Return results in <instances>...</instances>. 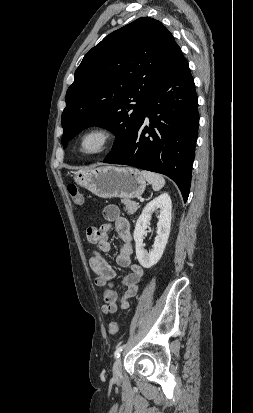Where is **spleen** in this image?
<instances>
[{
  "instance_id": "3e777b00",
  "label": "spleen",
  "mask_w": 253,
  "mask_h": 413,
  "mask_svg": "<svg viewBox=\"0 0 253 413\" xmlns=\"http://www.w3.org/2000/svg\"><path fill=\"white\" fill-rule=\"evenodd\" d=\"M141 174L147 180V182L152 185V188L155 191L160 190L165 185V179L160 174L146 170H142Z\"/></svg>"
}]
</instances>
